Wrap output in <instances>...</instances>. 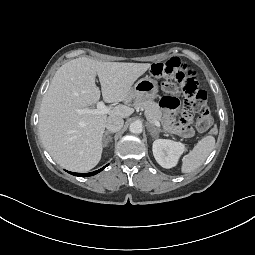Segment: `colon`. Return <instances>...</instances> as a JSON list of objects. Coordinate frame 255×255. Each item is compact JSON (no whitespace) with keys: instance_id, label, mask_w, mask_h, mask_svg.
Returning a JSON list of instances; mask_svg holds the SVG:
<instances>
[{"instance_id":"colon-1","label":"colon","mask_w":255,"mask_h":255,"mask_svg":"<svg viewBox=\"0 0 255 255\" xmlns=\"http://www.w3.org/2000/svg\"><path fill=\"white\" fill-rule=\"evenodd\" d=\"M151 74L157 79H164L163 90L170 94L181 92L184 96L183 116H191L200 112L196 129L206 132L213 126V117L207 108V94L198 86L195 72L178 58H171L164 63H156L151 67ZM215 134L216 130L211 129Z\"/></svg>"}]
</instances>
